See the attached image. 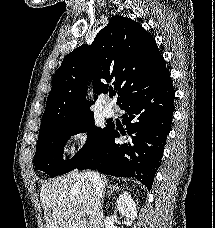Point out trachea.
Instances as JSON below:
<instances>
[{"label": "trachea", "mask_w": 215, "mask_h": 228, "mask_svg": "<svg viewBox=\"0 0 215 228\" xmlns=\"http://www.w3.org/2000/svg\"><path fill=\"white\" fill-rule=\"evenodd\" d=\"M115 95H116L115 92H110V94H109L110 98H113Z\"/></svg>", "instance_id": "3493384b"}]
</instances>
